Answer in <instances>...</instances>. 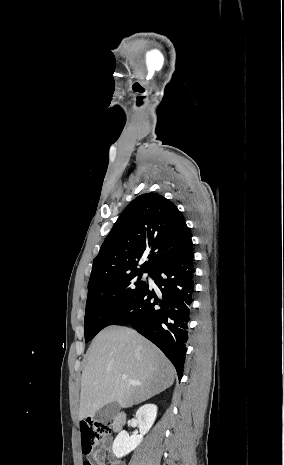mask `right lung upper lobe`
<instances>
[{"mask_svg":"<svg viewBox=\"0 0 284 465\" xmlns=\"http://www.w3.org/2000/svg\"><path fill=\"white\" fill-rule=\"evenodd\" d=\"M190 239L173 203L157 193L142 194L125 208L103 242L93 260L88 289L132 273H151ZM147 255L149 260L138 269V261Z\"/></svg>","mask_w":284,"mask_h":465,"instance_id":"obj_1","label":"right lung upper lobe"}]
</instances>
